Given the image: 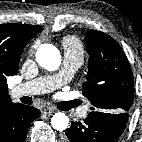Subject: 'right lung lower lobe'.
I'll return each instance as SVG.
<instances>
[{
    "instance_id": "1",
    "label": "right lung lower lobe",
    "mask_w": 142,
    "mask_h": 142,
    "mask_svg": "<svg viewBox=\"0 0 142 142\" xmlns=\"http://www.w3.org/2000/svg\"><path fill=\"white\" fill-rule=\"evenodd\" d=\"M40 116L32 106L13 104L0 112V142H25L30 123Z\"/></svg>"
}]
</instances>
